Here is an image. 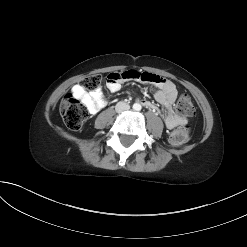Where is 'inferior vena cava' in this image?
I'll list each match as a JSON object with an SVG mask.
<instances>
[{"label":"inferior vena cava","mask_w":247,"mask_h":247,"mask_svg":"<svg viewBox=\"0 0 247 247\" xmlns=\"http://www.w3.org/2000/svg\"><path fill=\"white\" fill-rule=\"evenodd\" d=\"M130 108L129 104L125 103V102H118L115 106V110L120 113L123 111H126Z\"/></svg>","instance_id":"1"}]
</instances>
